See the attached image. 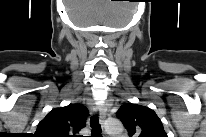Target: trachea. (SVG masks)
<instances>
[{
  "instance_id": "trachea-1",
  "label": "trachea",
  "mask_w": 206,
  "mask_h": 137,
  "mask_svg": "<svg viewBox=\"0 0 206 137\" xmlns=\"http://www.w3.org/2000/svg\"><path fill=\"white\" fill-rule=\"evenodd\" d=\"M90 126L92 128L91 137H102L101 135V126L98 122V117L93 116L90 120Z\"/></svg>"
}]
</instances>
